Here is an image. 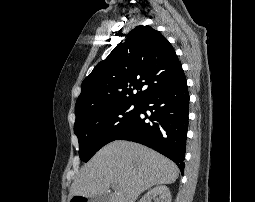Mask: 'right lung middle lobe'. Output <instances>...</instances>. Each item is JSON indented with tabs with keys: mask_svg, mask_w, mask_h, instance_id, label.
I'll return each mask as SVG.
<instances>
[{
	"mask_svg": "<svg viewBox=\"0 0 255 202\" xmlns=\"http://www.w3.org/2000/svg\"><path fill=\"white\" fill-rule=\"evenodd\" d=\"M141 103L124 102L102 107L77 119L74 132L79 156L87 162L100 148L114 141L136 118Z\"/></svg>",
	"mask_w": 255,
	"mask_h": 202,
	"instance_id": "obj_1",
	"label": "right lung middle lobe"
}]
</instances>
